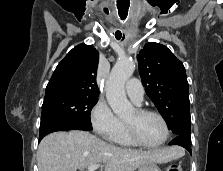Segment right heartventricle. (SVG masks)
<instances>
[{
  "instance_id": "right-heart-ventricle-1",
  "label": "right heart ventricle",
  "mask_w": 223,
  "mask_h": 171,
  "mask_svg": "<svg viewBox=\"0 0 223 171\" xmlns=\"http://www.w3.org/2000/svg\"><path fill=\"white\" fill-rule=\"evenodd\" d=\"M115 144L122 146V147H132L135 146V144H133L129 138L127 137L125 130H124V126L121 123V127L119 132L117 133V135L115 136V138L112 140Z\"/></svg>"
}]
</instances>
